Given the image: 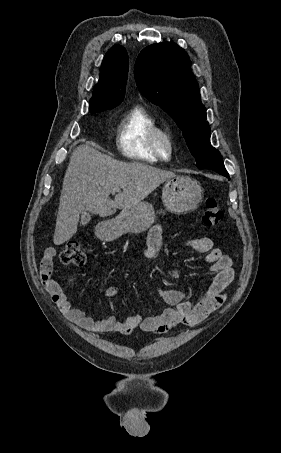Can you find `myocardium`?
I'll use <instances>...</instances> for the list:
<instances>
[{
    "mask_svg": "<svg viewBox=\"0 0 281 453\" xmlns=\"http://www.w3.org/2000/svg\"><path fill=\"white\" fill-rule=\"evenodd\" d=\"M151 146L160 160L169 161L173 158L175 143L168 131L157 128L151 136Z\"/></svg>",
    "mask_w": 281,
    "mask_h": 453,
    "instance_id": "1",
    "label": "myocardium"
}]
</instances>
